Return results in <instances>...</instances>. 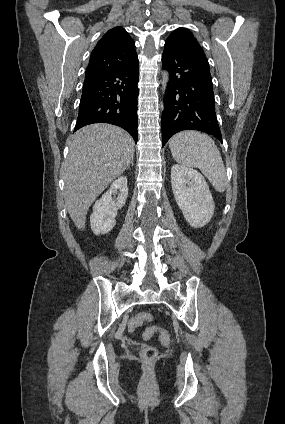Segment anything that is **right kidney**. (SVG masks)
<instances>
[{"mask_svg":"<svg viewBox=\"0 0 285 424\" xmlns=\"http://www.w3.org/2000/svg\"><path fill=\"white\" fill-rule=\"evenodd\" d=\"M118 194L117 201L112 200V194ZM128 196L127 177L121 176L110 186L101 199L97 200L93 206V213L90 216V225L94 234H106L113 229L116 224L115 217L121 209Z\"/></svg>","mask_w":285,"mask_h":424,"instance_id":"ca27d5eb","label":"right kidney"}]
</instances>
